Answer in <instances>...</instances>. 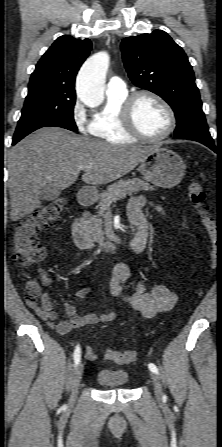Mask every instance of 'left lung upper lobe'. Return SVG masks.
I'll return each mask as SVG.
<instances>
[{
    "label": "left lung upper lobe",
    "instance_id": "obj_1",
    "mask_svg": "<svg viewBox=\"0 0 222 447\" xmlns=\"http://www.w3.org/2000/svg\"><path fill=\"white\" fill-rule=\"evenodd\" d=\"M121 50L131 81L172 107L177 120L174 136L212 142L192 66L183 49L166 32L154 30L124 38Z\"/></svg>",
    "mask_w": 222,
    "mask_h": 447
}]
</instances>
